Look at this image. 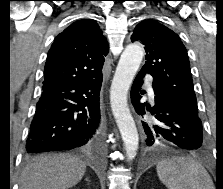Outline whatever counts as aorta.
I'll return each instance as SVG.
<instances>
[{
  "label": "aorta",
  "mask_w": 223,
  "mask_h": 189,
  "mask_svg": "<svg viewBox=\"0 0 223 189\" xmlns=\"http://www.w3.org/2000/svg\"><path fill=\"white\" fill-rule=\"evenodd\" d=\"M143 56L144 49L140 44L127 45L120 57L110 88L112 113L121 133L129 161L133 160L137 154L139 135L128 107L127 94Z\"/></svg>",
  "instance_id": "1"
}]
</instances>
